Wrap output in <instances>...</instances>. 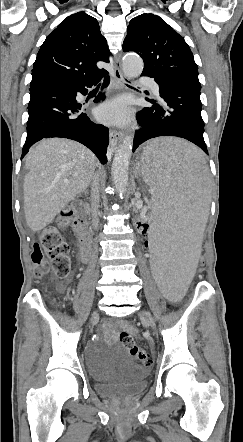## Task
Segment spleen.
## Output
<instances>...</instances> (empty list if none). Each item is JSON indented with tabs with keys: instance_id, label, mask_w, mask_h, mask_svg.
Segmentation results:
<instances>
[{
	"instance_id": "spleen-1",
	"label": "spleen",
	"mask_w": 243,
	"mask_h": 442,
	"mask_svg": "<svg viewBox=\"0 0 243 442\" xmlns=\"http://www.w3.org/2000/svg\"><path fill=\"white\" fill-rule=\"evenodd\" d=\"M136 178L148 184L153 230L147 253L161 296H186L208 219V171L204 154L177 138L150 141L139 155Z\"/></svg>"
}]
</instances>
